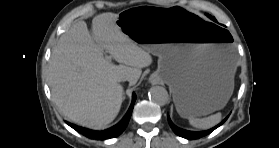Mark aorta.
Here are the masks:
<instances>
[{
	"label": "aorta",
	"instance_id": "1",
	"mask_svg": "<svg viewBox=\"0 0 279 148\" xmlns=\"http://www.w3.org/2000/svg\"><path fill=\"white\" fill-rule=\"evenodd\" d=\"M149 98L158 105H165L169 101L168 92L162 86H153L149 91Z\"/></svg>",
	"mask_w": 279,
	"mask_h": 148
}]
</instances>
